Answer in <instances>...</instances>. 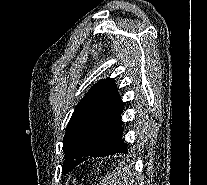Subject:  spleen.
Listing matches in <instances>:
<instances>
[{"label": "spleen", "instance_id": "1", "mask_svg": "<svg viewBox=\"0 0 207 185\" xmlns=\"http://www.w3.org/2000/svg\"><path fill=\"white\" fill-rule=\"evenodd\" d=\"M133 170H129L128 158H119L116 170H109L106 174L104 185H127V183H135V178L132 177Z\"/></svg>", "mask_w": 207, "mask_h": 185}]
</instances>
